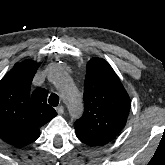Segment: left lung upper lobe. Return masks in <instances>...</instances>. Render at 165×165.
Returning <instances> with one entry per match:
<instances>
[{
	"label": "left lung upper lobe",
	"instance_id": "left-lung-upper-lobe-1",
	"mask_svg": "<svg viewBox=\"0 0 165 165\" xmlns=\"http://www.w3.org/2000/svg\"><path fill=\"white\" fill-rule=\"evenodd\" d=\"M85 111L75 130L100 145L113 140L124 128L130 98L107 61L93 58L87 64L84 82Z\"/></svg>",
	"mask_w": 165,
	"mask_h": 165
}]
</instances>
